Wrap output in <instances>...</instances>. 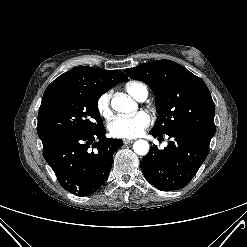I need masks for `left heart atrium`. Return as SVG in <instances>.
Listing matches in <instances>:
<instances>
[{
	"label": "left heart atrium",
	"mask_w": 247,
	"mask_h": 247,
	"mask_svg": "<svg viewBox=\"0 0 247 247\" xmlns=\"http://www.w3.org/2000/svg\"><path fill=\"white\" fill-rule=\"evenodd\" d=\"M151 117L140 111L133 115H119L111 120L108 129L112 136L118 138H134L141 135L150 125Z\"/></svg>",
	"instance_id": "obj_1"
}]
</instances>
